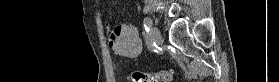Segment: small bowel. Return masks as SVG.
I'll list each match as a JSON object with an SVG mask.
<instances>
[{
	"label": "small bowel",
	"instance_id": "small-bowel-1",
	"mask_svg": "<svg viewBox=\"0 0 279 82\" xmlns=\"http://www.w3.org/2000/svg\"><path fill=\"white\" fill-rule=\"evenodd\" d=\"M109 28V24L104 25ZM109 45L120 57L134 58L141 52V41L137 29L133 25L114 27L109 33Z\"/></svg>",
	"mask_w": 279,
	"mask_h": 82
}]
</instances>
